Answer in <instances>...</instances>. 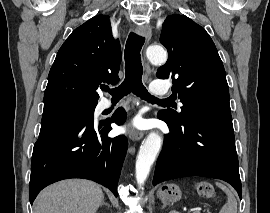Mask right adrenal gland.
Masks as SVG:
<instances>
[{
  "label": "right adrenal gland",
  "mask_w": 270,
  "mask_h": 213,
  "mask_svg": "<svg viewBox=\"0 0 270 213\" xmlns=\"http://www.w3.org/2000/svg\"><path fill=\"white\" fill-rule=\"evenodd\" d=\"M103 205H105V206H107L108 208H110V205H109L108 203H106L105 201L102 202L101 206H103Z\"/></svg>",
  "instance_id": "right-adrenal-gland-1"
}]
</instances>
